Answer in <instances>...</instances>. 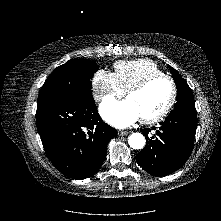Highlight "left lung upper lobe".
<instances>
[{
    "label": "left lung upper lobe",
    "mask_w": 221,
    "mask_h": 221,
    "mask_svg": "<svg viewBox=\"0 0 221 221\" xmlns=\"http://www.w3.org/2000/svg\"><path fill=\"white\" fill-rule=\"evenodd\" d=\"M169 69L172 72V77L177 86V97L174 109L171 112L176 111H196L194 97L187 82L180 76V74L171 66Z\"/></svg>",
    "instance_id": "left-lung-upper-lobe-1"
}]
</instances>
